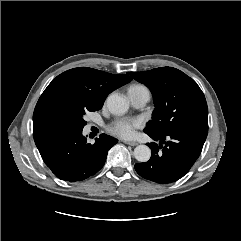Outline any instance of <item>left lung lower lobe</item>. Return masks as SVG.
<instances>
[{"instance_id":"1","label":"left lung lower lobe","mask_w":241,"mask_h":241,"mask_svg":"<svg viewBox=\"0 0 241 241\" xmlns=\"http://www.w3.org/2000/svg\"><path fill=\"white\" fill-rule=\"evenodd\" d=\"M147 134L160 144L148 143L151 158L135 164V170L147 180L168 184L182 178L193 166L202 151L208 126H193L166 135Z\"/></svg>"}]
</instances>
